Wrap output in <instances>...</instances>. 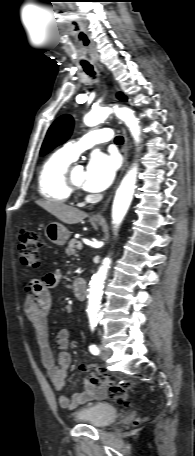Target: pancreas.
I'll return each instance as SVG.
<instances>
[{
  "label": "pancreas",
  "instance_id": "1",
  "mask_svg": "<svg viewBox=\"0 0 195 456\" xmlns=\"http://www.w3.org/2000/svg\"><path fill=\"white\" fill-rule=\"evenodd\" d=\"M80 242L77 240V239H72L69 243H68V247L66 249V254L67 255H75L76 254V246L77 244H79Z\"/></svg>",
  "mask_w": 195,
  "mask_h": 456
}]
</instances>
